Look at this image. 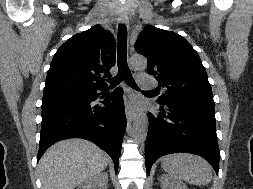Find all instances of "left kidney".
<instances>
[{"label": "left kidney", "mask_w": 253, "mask_h": 189, "mask_svg": "<svg viewBox=\"0 0 253 189\" xmlns=\"http://www.w3.org/2000/svg\"><path fill=\"white\" fill-rule=\"evenodd\" d=\"M160 183L162 189H188L184 183L177 181L167 175H162L160 177Z\"/></svg>", "instance_id": "obj_1"}]
</instances>
